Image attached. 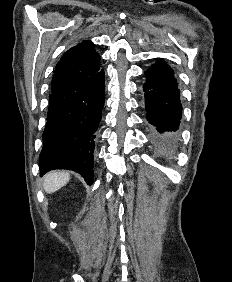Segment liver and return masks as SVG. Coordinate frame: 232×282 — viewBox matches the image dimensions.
Masks as SVG:
<instances>
[{
	"mask_svg": "<svg viewBox=\"0 0 232 282\" xmlns=\"http://www.w3.org/2000/svg\"><path fill=\"white\" fill-rule=\"evenodd\" d=\"M70 180V175L64 171H52L45 175L43 181V188L46 193H54Z\"/></svg>",
	"mask_w": 232,
	"mask_h": 282,
	"instance_id": "obj_1",
	"label": "liver"
}]
</instances>
